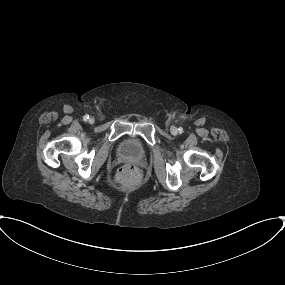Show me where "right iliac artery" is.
Instances as JSON below:
<instances>
[{"mask_svg":"<svg viewBox=\"0 0 285 285\" xmlns=\"http://www.w3.org/2000/svg\"><path fill=\"white\" fill-rule=\"evenodd\" d=\"M83 119L85 120V121H87L88 119H89V115H84V117H83Z\"/></svg>","mask_w":285,"mask_h":285,"instance_id":"82829eb1","label":"right iliac artery"}]
</instances>
